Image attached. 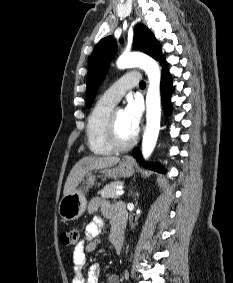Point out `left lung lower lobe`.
<instances>
[{
    "instance_id": "left-lung-lower-lobe-1",
    "label": "left lung lower lobe",
    "mask_w": 233,
    "mask_h": 283,
    "mask_svg": "<svg viewBox=\"0 0 233 283\" xmlns=\"http://www.w3.org/2000/svg\"><path fill=\"white\" fill-rule=\"evenodd\" d=\"M158 61L160 62L161 66H162V79H161V96H162V101L164 104V108L167 114L170 113L171 110V105H170V96H171V92L173 90V86H172V81H171V77L168 73V69H167V64H166V60L164 55H162ZM135 158L145 167L157 171V172H161L164 173V169L159 166L158 164H147L143 162L141 153L139 150L135 149L133 151Z\"/></svg>"
}]
</instances>
